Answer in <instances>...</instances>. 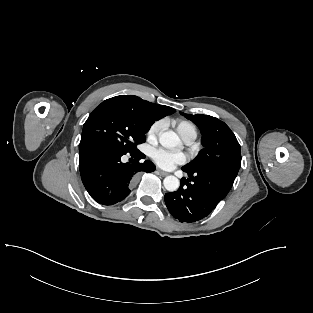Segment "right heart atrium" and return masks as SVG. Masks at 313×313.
I'll return each mask as SVG.
<instances>
[{
	"instance_id": "1",
	"label": "right heart atrium",
	"mask_w": 313,
	"mask_h": 313,
	"mask_svg": "<svg viewBox=\"0 0 313 313\" xmlns=\"http://www.w3.org/2000/svg\"><path fill=\"white\" fill-rule=\"evenodd\" d=\"M162 127H163V123L161 121L154 122L148 129V132H147L148 140L150 141L156 140L159 133L162 130Z\"/></svg>"
}]
</instances>
